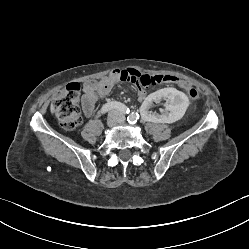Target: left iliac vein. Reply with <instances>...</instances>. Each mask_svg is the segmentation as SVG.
I'll list each match as a JSON object with an SVG mask.
<instances>
[{
	"label": "left iliac vein",
	"instance_id": "4c4485c4",
	"mask_svg": "<svg viewBox=\"0 0 249 249\" xmlns=\"http://www.w3.org/2000/svg\"><path fill=\"white\" fill-rule=\"evenodd\" d=\"M125 121V117L124 116H120V120H119V123H122V122H124Z\"/></svg>",
	"mask_w": 249,
	"mask_h": 249
}]
</instances>
